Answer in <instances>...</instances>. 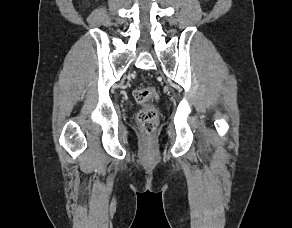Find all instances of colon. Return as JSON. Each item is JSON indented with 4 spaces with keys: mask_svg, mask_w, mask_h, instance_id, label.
Masks as SVG:
<instances>
[{
    "mask_svg": "<svg viewBox=\"0 0 292 228\" xmlns=\"http://www.w3.org/2000/svg\"><path fill=\"white\" fill-rule=\"evenodd\" d=\"M134 98L144 106L137 115V121L144 133L150 136L156 130L159 120L157 109L151 105L158 99V94L152 87H140L134 90Z\"/></svg>",
    "mask_w": 292,
    "mask_h": 228,
    "instance_id": "obj_1",
    "label": "colon"
}]
</instances>
